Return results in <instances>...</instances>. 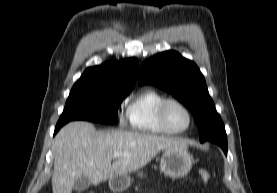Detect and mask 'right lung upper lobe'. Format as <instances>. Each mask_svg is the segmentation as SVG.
Returning a JSON list of instances; mask_svg holds the SVG:
<instances>
[{
	"mask_svg": "<svg viewBox=\"0 0 277 193\" xmlns=\"http://www.w3.org/2000/svg\"><path fill=\"white\" fill-rule=\"evenodd\" d=\"M138 74V60L130 58L119 62H105L85 70L72 89L130 92Z\"/></svg>",
	"mask_w": 277,
	"mask_h": 193,
	"instance_id": "1",
	"label": "right lung upper lobe"
}]
</instances>
